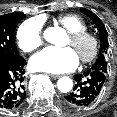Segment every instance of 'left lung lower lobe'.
<instances>
[{
	"instance_id": "left-lung-lower-lobe-1",
	"label": "left lung lower lobe",
	"mask_w": 117,
	"mask_h": 117,
	"mask_svg": "<svg viewBox=\"0 0 117 117\" xmlns=\"http://www.w3.org/2000/svg\"><path fill=\"white\" fill-rule=\"evenodd\" d=\"M106 76V73L92 69L74 76L77 83L73 92L65 97L66 103L71 106L93 104L105 85Z\"/></svg>"
}]
</instances>
